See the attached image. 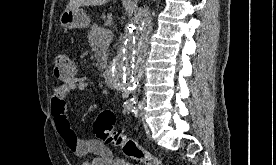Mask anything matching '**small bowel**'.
<instances>
[{"mask_svg":"<svg viewBox=\"0 0 276 165\" xmlns=\"http://www.w3.org/2000/svg\"><path fill=\"white\" fill-rule=\"evenodd\" d=\"M92 85L88 78L73 77L51 90V113L56 129L69 148L78 157L93 156L84 160L81 165H113V153L99 139L81 140L77 137L67 116L66 98L72 91H85Z\"/></svg>","mask_w":276,"mask_h":165,"instance_id":"1","label":"small bowel"}]
</instances>
